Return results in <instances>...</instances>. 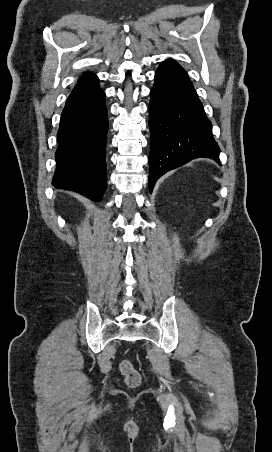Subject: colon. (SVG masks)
Returning a JSON list of instances; mask_svg holds the SVG:
<instances>
[{"instance_id": "1", "label": "colon", "mask_w": 272, "mask_h": 452, "mask_svg": "<svg viewBox=\"0 0 272 452\" xmlns=\"http://www.w3.org/2000/svg\"><path fill=\"white\" fill-rule=\"evenodd\" d=\"M119 370L129 387L134 388L139 385L141 381L140 374L130 361L122 360L119 364Z\"/></svg>"}]
</instances>
